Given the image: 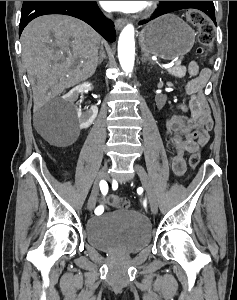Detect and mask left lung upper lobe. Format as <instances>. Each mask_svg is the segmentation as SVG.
Masks as SVG:
<instances>
[{"instance_id":"1","label":"left lung upper lobe","mask_w":237,"mask_h":300,"mask_svg":"<svg viewBox=\"0 0 237 300\" xmlns=\"http://www.w3.org/2000/svg\"><path fill=\"white\" fill-rule=\"evenodd\" d=\"M170 1H160V8H159V11L157 12V14L154 16V17H152L151 19H153V18H155V17H158L159 15H161L163 12H165L166 11V7H165V5L167 4V3H169ZM142 23H146V21H144V22H142Z\"/></svg>"}]
</instances>
